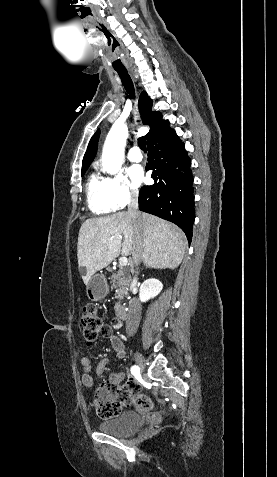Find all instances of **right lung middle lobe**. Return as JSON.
<instances>
[{"label":"right lung middle lobe","mask_w":277,"mask_h":477,"mask_svg":"<svg viewBox=\"0 0 277 477\" xmlns=\"http://www.w3.org/2000/svg\"><path fill=\"white\" fill-rule=\"evenodd\" d=\"M87 169H82L81 173H82V176L84 175V173L86 172Z\"/></svg>","instance_id":"dd1d6c3e"}]
</instances>
